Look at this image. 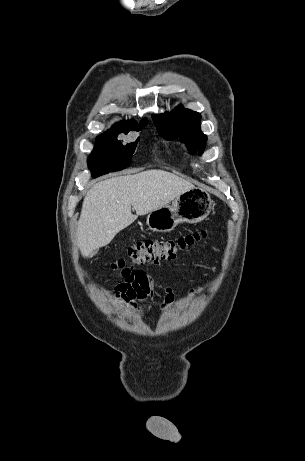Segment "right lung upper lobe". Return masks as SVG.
I'll use <instances>...</instances> for the list:
<instances>
[{"mask_svg": "<svg viewBox=\"0 0 305 461\" xmlns=\"http://www.w3.org/2000/svg\"><path fill=\"white\" fill-rule=\"evenodd\" d=\"M143 122H148V121H147V119H143ZM133 124H135V122H133ZM115 126H119V127L123 128V129H126V128L131 127L132 125L130 123H120V124H116Z\"/></svg>", "mask_w": 305, "mask_h": 461, "instance_id": "cb5924a9", "label": "right lung upper lobe"}]
</instances>
